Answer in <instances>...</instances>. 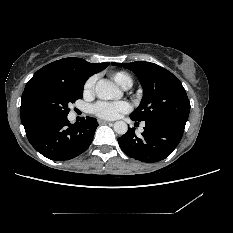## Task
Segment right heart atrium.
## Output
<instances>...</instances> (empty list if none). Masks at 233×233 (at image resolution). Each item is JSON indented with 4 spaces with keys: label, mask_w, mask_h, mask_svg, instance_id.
<instances>
[{
    "label": "right heart atrium",
    "mask_w": 233,
    "mask_h": 233,
    "mask_svg": "<svg viewBox=\"0 0 233 233\" xmlns=\"http://www.w3.org/2000/svg\"><path fill=\"white\" fill-rule=\"evenodd\" d=\"M96 77L91 76L87 79L83 86V93L85 96H92L95 92Z\"/></svg>",
    "instance_id": "right-heart-atrium-1"
}]
</instances>
